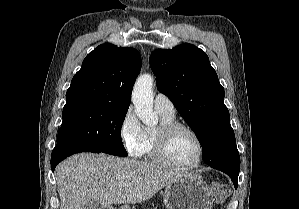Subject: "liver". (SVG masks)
<instances>
[{
  "label": "liver",
  "instance_id": "1",
  "mask_svg": "<svg viewBox=\"0 0 299 209\" xmlns=\"http://www.w3.org/2000/svg\"><path fill=\"white\" fill-rule=\"evenodd\" d=\"M189 175L152 163L91 153L73 155L55 171L60 209H83L89 200L104 206L141 203ZM122 182L126 185L120 187Z\"/></svg>",
  "mask_w": 299,
  "mask_h": 209
}]
</instances>
